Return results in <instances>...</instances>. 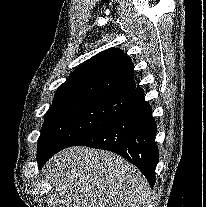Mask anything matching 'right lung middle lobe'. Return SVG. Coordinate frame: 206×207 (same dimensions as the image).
<instances>
[{
	"label": "right lung middle lobe",
	"mask_w": 206,
	"mask_h": 207,
	"mask_svg": "<svg viewBox=\"0 0 206 207\" xmlns=\"http://www.w3.org/2000/svg\"><path fill=\"white\" fill-rule=\"evenodd\" d=\"M129 102L128 96L54 101L45 115L38 155L77 144L121 114Z\"/></svg>",
	"instance_id": "right-lung-middle-lobe-1"
}]
</instances>
